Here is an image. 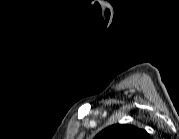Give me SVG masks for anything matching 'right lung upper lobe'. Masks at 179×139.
Instances as JSON below:
<instances>
[{"label":"right lung upper lobe","mask_w":179,"mask_h":139,"mask_svg":"<svg viewBox=\"0 0 179 139\" xmlns=\"http://www.w3.org/2000/svg\"><path fill=\"white\" fill-rule=\"evenodd\" d=\"M148 133L133 125L116 124L101 131L95 139H147Z\"/></svg>","instance_id":"1"}]
</instances>
